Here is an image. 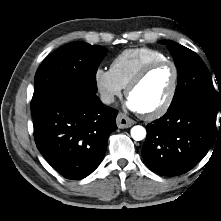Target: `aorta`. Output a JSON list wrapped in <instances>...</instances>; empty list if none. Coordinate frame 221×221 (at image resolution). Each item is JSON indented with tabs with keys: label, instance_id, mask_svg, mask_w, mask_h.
<instances>
[{
	"label": "aorta",
	"instance_id": "obj_1",
	"mask_svg": "<svg viewBox=\"0 0 221 221\" xmlns=\"http://www.w3.org/2000/svg\"><path fill=\"white\" fill-rule=\"evenodd\" d=\"M131 137L136 141L143 140L146 137V129L140 125L134 126L131 129Z\"/></svg>",
	"mask_w": 221,
	"mask_h": 221
}]
</instances>
